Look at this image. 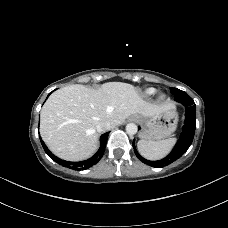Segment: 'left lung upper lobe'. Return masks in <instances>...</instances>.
I'll return each mask as SVG.
<instances>
[{
	"label": "left lung upper lobe",
	"mask_w": 228,
	"mask_h": 228,
	"mask_svg": "<svg viewBox=\"0 0 228 228\" xmlns=\"http://www.w3.org/2000/svg\"><path fill=\"white\" fill-rule=\"evenodd\" d=\"M171 93L175 95V98H184L188 96V94L182 90H179L177 88H171Z\"/></svg>",
	"instance_id": "5c2ea615"
}]
</instances>
